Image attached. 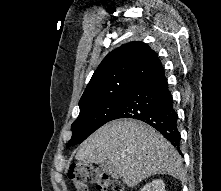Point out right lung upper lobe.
Returning <instances> with one entry per match:
<instances>
[{
	"label": "right lung upper lobe",
	"instance_id": "1",
	"mask_svg": "<svg viewBox=\"0 0 221 191\" xmlns=\"http://www.w3.org/2000/svg\"><path fill=\"white\" fill-rule=\"evenodd\" d=\"M162 68L157 54L143 42H130L109 53L89 81L79 107L127 94Z\"/></svg>",
	"mask_w": 221,
	"mask_h": 191
}]
</instances>
